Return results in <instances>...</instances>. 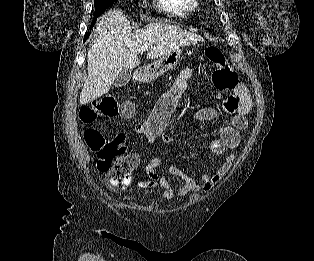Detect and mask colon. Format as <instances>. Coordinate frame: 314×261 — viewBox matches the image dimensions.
<instances>
[{
    "mask_svg": "<svg viewBox=\"0 0 314 261\" xmlns=\"http://www.w3.org/2000/svg\"><path fill=\"white\" fill-rule=\"evenodd\" d=\"M206 58L214 65L212 81L217 90L225 92L238 86L237 75L232 71L223 51L216 46H208ZM131 107L121 105L112 95H106L83 106L79 119L86 126L83 137L88 148L97 154L99 171L105 174L106 184L113 189H122L130 183V169L134 167L131 157H126L125 142L116 138H106L92 125L99 118L129 116Z\"/></svg>",
    "mask_w": 314,
    "mask_h": 261,
    "instance_id": "1",
    "label": "colon"
}]
</instances>
